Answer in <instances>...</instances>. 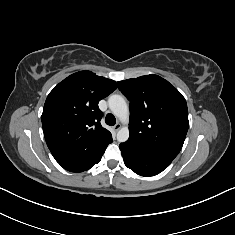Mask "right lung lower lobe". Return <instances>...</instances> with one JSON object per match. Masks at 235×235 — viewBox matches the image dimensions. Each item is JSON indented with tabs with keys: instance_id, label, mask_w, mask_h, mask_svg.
<instances>
[{
	"instance_id": "1",
	"label": "right lung lower lobe",
	"mask_w": 235,
	"mask_h": 235,
	"mask_svg": "<svg viewBox=\"0 0 235 235\" xmlns=\"http://www.w3.org/2000/svg\"><path fill=\"white\" fill-rule=\"evenodd\" d=\"M107 146H108V144L100 152H98L97 154H95L93 156L87 157V158H85L83 160H79V161L61 163L60 165L64 169L71 171V172H83L85 170H88L93 165L99 163Z\"/></svg>"
}]
</instances>
